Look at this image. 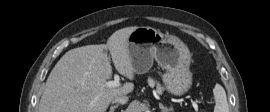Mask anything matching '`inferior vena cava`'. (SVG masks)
<instances>
[{
  "label": "inferior vena cava",
  "instance_id": "602c4592",
  "mask_svg": "<svg viewBox=\"0 0 270 112\" xmlns=\"http://www.w3.org/2000/svg\"><path fill=\"white\" fill-rule=\"evenodd\" d=\"M128 97L127 96H115L112 98L111 102L112 103H119V104H126L128 102Z\"/></svg>",
  "mask_w": 270,
  "mask_h": 112
}]
</instances>
